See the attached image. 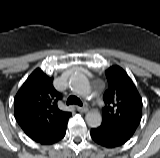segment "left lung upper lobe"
Returning <instances> with one entry per match:
<instances>
[{
    "label": "left lung upper lobe",
    "mask_w": 160,
    "mask_h": 158,
    "mask_svg": "<svg viewBox=\"0 0 160 158\" xmlns=\"http://www.w3.org/2000/svg\"><path fill=\"white\" fill-rule=\"evenodd\" d=\"M106 78L102 124L132 136L141 120L142 99L131 78L119 66L108 68Z\"/></svg>",
    "instance_id": "left-lung-upper-lobe-1"
}]
</instances>
